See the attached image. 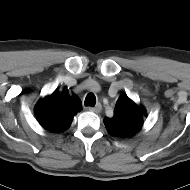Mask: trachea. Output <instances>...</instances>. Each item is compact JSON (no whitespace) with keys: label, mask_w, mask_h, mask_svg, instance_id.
Wrapping results in <instances>:
<instances>
[{"label":"trachea","mask_w":190,"mask_h":190,"mask_svg":"<svg viewBox=\"0 0 190 190\" xmlns=\"http://www.w3.org/2000/svg\"><path fill=\"white\" fill-rule=\"evenodd\" d=\"M85 106H91L94 107L96 104V97L93 93H89L84 101Z\"/></svg>","instance_id":"trachea-1"}]
</instances>
